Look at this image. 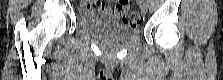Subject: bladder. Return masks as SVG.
<instances>
[{
  "mask_svg": "<svg viewBox=\"0 0 223 80\" xmlns=\"http://www.w3.org/2000/svg\"><path fill=\"white\" fill-rule=\"evenodd\" d=\"M79 26L92 36L106 41H125L138 34L137 26H130L116 20L83 15Z\"/></svg>",
  "mask_w": 223,
  "mask_h": 80,
  "instance_id": "bladder-1",
  "label": "bladder"
}]
</instances>
